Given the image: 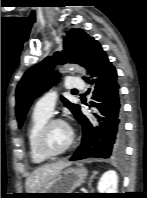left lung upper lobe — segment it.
<instances>
[{
	"label": "left lung upper lobe",
	"mask_w": 147,
	"mask_h": 198,
	"mask_svg": "<svg viewBox=\"0 0 147 198\" xmlns=\"http://www.w3.org/2000/svg\"><path fill=\"white\" fill-rule=\"evenodd\" d=\"M94 41L96 40L87 35L84 30L72 28L67 31L60 52L45 58L24 74L16 89V116L19 127L22 126L32 101L48 90L55 79L59 78L58 73H53L54 67L57 64L77 63L87 68ZM61 99L77 118L81 112L79 105L70 103L63 97Z\"/></svg>",
	"instance_id": "left-lung-upper-lobe-1"
}]
</instances>
